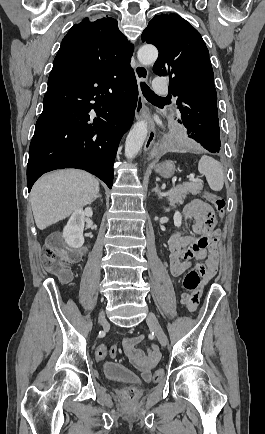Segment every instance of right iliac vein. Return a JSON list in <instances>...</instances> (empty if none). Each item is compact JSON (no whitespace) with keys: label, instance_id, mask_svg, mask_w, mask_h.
I'll return each mask as SVG.
<instances>
[{"label":"right iliac vein","instance_id":"obj_1","mask_svg":"<svg viewBox=\"0 0 265 434\" xmlns=\"http://www.w3.org/2000/svg\"><path fill=\"white\" fill-rule=\"evenodd\" d=\"M99 322H100L101 324H106V323H107V321H106V319H105V317H104V311H100Z\"/></svg>","mask_w":265,"mask_h":434}]
</instances>
